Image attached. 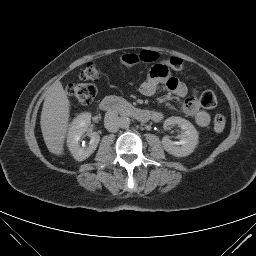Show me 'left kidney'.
<instances>
[{"label": "left kidney", "mask_w": 256, "mask_h": 256, "mask_svg": "<svg viewBox=\"0 0 256 256\" xmlns=\"http://www.w3.org/2000/svg\"><path fill=\"white\" fill-rule=\"evenodd\" d=\"M178 125L184 131L179 142L171 141L168 136L162 139V145L166 152L175 157H186L190 155L198 144V132L186 119L181 117H169L164 122V129Z\"/></svg>", "instance_id": "obj_1"}]
</instances>
